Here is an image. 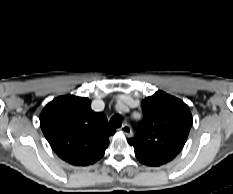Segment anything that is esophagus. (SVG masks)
<instances>
[{
	"label": "esophagus",
	"instance_id": "1",
	"mask_svg": "<svg viewBox=\"0 0 233 194\" xmlns=\"http://www.w3.org/2000/svg\"><path fill=\"white\" fill-rule=\"evenodd\" d=\"M119 130L122 133H124L127 137H131L133 134L132 128L128 124L123 125Z\"/></svg>",
	"mask_w": 233,
	"mask_h": 194
}]
</instances>
